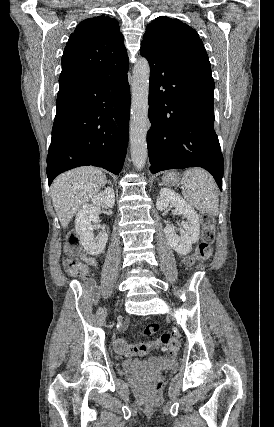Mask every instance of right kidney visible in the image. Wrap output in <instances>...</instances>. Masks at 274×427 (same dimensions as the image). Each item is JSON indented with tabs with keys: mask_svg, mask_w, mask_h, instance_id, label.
Wrapping results in <instances>:
<instances>
[{
	"mask_svg": "<svg viewBox=\"0 0 274 427\" xmlns=\"http://www.w3.org/2000/svg\"><path fill=\"white\" fill-rule=\"evenodd\" d=\"M115 204V194L112 188H105L104 192L94 196L92 204L82 206L75 219V229L79 235L81 245H83L85 251L90 255H99L105 249L108 235L104 229H101L98 214L96 212V206H102V208H113ZM94 223V225H92ZM93 227L101 229L99 235L94 237L92 233Z\"/></svg>",
	"mask_w": 274,
	"mask_h": 427,
	"instance_id": "1",
	"label": "right kidney"
}]
</instances>
